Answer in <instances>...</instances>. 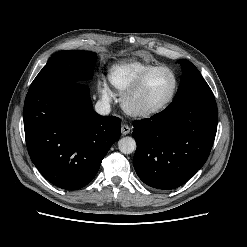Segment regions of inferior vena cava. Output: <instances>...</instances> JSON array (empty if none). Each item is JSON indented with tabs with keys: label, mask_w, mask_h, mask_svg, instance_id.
Here are the masks:
<instances>
[{
	"label": "inferior vena cava",
	"mask_w": 247,
	"mask_h": 247,
	"mask_svg": "<svg viewBox=\"0 0 247 247\" xmlns=\"http://www.w3.org/2000/svg\"><path fill=\"white\" fill-rule=\"evenodd\" d=\"M95 111L100 115H108L111 111L110 104L107 101L99 100L95 105Z\"/></svg>",
	"instance_id": "obj_1"
}]
</instances>
